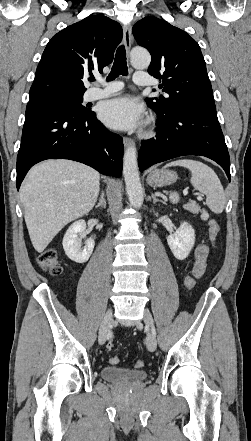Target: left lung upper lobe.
Segmentation results:
<instances>
[{
    "mask_svg": "<svg viewBox=\"0 0 251 441\" xmlns=\"http://www.w3.org/2000/svg\"><path fill=\"white\" fill-rule=\"evenodd\" d=\"M132 32L138 45L151 53L148 73L161 78L159 87L168 93L167 97L145 99L158 116L183 106L215 104L200 47L185 31L148 16L138 21Z\"/></svg>",
    "mask_w": 251,
    "mask_h": 441,
    "instance_id": "left-lung-upper-lobe-1",
    "label": "left lung upper lobe"
}]
</instances>
